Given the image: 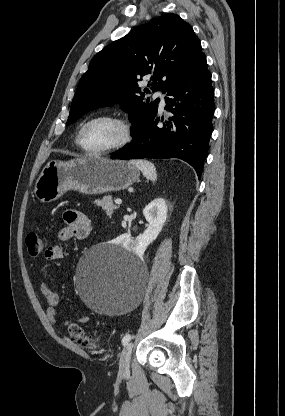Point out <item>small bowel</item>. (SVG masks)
<instances>
[{"label":"small bowel","mask_w":285,"mask_h":416,"mask_svg":"<svg viewBox=\"0 0 285 416\" xmlns=\"http://www.w3.org/2000/svg\"><path fill=\"white\" fill-rule=\"evenodd\" d=\"M65 226L58 232V239L61 242L68 241L70 239L83 240L86 239L92 230V225L89 217L84 213L77 210H67L63 214ZM45 257L48 260H58L63 257V248L60 244L47 247L45 251ZM40 292L46 300L47 320L55 325L59 321V314L57 307L60 303V297L47 283H41ZM89 318L82 316L76 320V323H87ZM72 321H65V325L69 326Z\"/></svg>","instance_id":"obj_1"}]
</instances>
